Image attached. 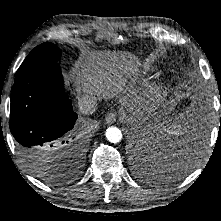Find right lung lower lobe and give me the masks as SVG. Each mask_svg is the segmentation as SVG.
<instances>
[{"label": "right lung lower lobe", "instance_id": "98d812e1", "mask_svg": "<svg viewBox=\"0 0 221 221\" xmlns=\"http://www.w3.org/2000/svg\"><path fill=\"white\" fill-rule=\"evenodd\" d=\"M76 119L64 93L58 63L42 66L14 81L9 126L27 159L45 153L55 155L63 144H68L65 140L70 138ZM70 144L81 157V142Z\"/></svg>", "mask_w": 221, "mask_h": 221}]
</instances>
